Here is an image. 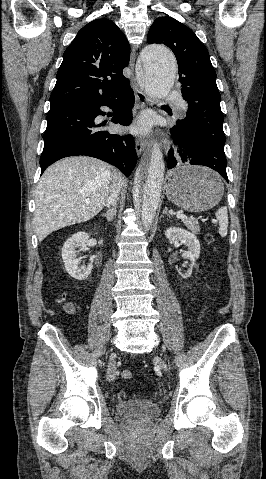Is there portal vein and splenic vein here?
<instances>
[{
  "label": "portal vein and splenic vein",
  "mask_w": 266,
  "mask_h": 479,
  "mask_svg": "<svg viewBox=\"0 0 266 479\" xmlns=\"http://www.w3.org/2000/svg\"><path fill=\"white\" fill-rule=\"evenodd\" d=\"M86 202H89V200H86ZM186 216L184 214H177L178 219H184Z\"/></svg>",
  "instance_id": "18ae733b"
}]
</instances>
